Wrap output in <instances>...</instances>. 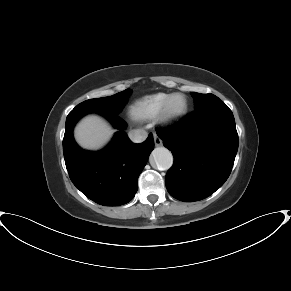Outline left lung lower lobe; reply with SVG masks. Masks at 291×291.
<instances>
[{
  "label": "left lung lower lobe",
  "mask_w": 291,
  "mask_h": 291,
  "mask_svg": "<svg viewBox=\"0 0 291 291\" xmlns=\"http://www.w3.org/2000/svg\"><path fill=\"white\" fill-rule=\"evenodd\" d=\"M157 135L171 150L174 164L166 174L169 194L184 202L213 194L230 175L238 150L232 111L222 101L194 111Z\"/></svg>",
  "instance_id": "1"
}]
</instances>
